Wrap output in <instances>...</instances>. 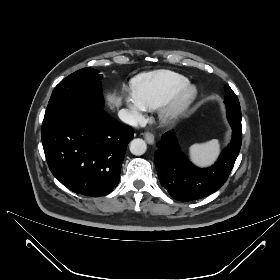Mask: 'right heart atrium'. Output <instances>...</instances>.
I'll use <instances>...</instances> for the list:
<instances>
[{"mask_svg": "<svg viewBox=\"0 0 280 280\" xmlns=\"http://www.w3.org/2000/svg\"><path fill=\"white\" fill-rule=\"evenodd\" d=\"M124 102L135 122H141L144 118L145 109L139 103L135 94L131 92H126Z\"/></svg>", "mask_w": 280, "mask_h": 280, "instance_id": "d8ad5b80", "label": "right heart atrium"}]
</instances>
